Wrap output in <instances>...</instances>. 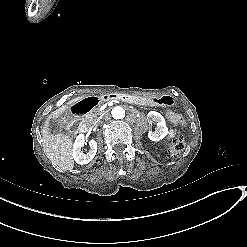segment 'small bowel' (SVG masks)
I'll use <instances>...</instances> for the list:
<instances>
[{
  "label": "small bowel",
  "instance_id": "obj_1",
  "mask_svg": "<svg viewBox=\"0 0 247 247\" xmlns=\"http://www.w3.org/2000/svg\"><path fill=\"white\" fill-rule=\"evenodd\" d=\"M176 136V129H171L168 135V138H174Z\"/></svg>",
  "mask_w": 247,
  "mask_h": 247
}]
</instances>
